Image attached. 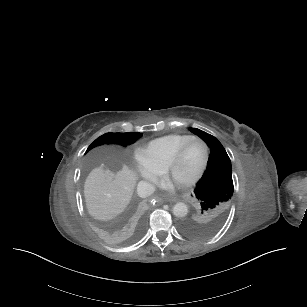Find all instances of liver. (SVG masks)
<instances>
[{
    "label": "liver",
    "instance_id": "1",
    "mask_svg": "<svg viewBox=\"0 0 307 307\" xmlns=\"http://www.w3.org/2000/svg\"><path fill=\"white\" fill-rule=\"evenodd\" d=\"M137 173L136 162L128 156L100 159L84 184L88 213L103 221L121 214L131 200Z\"/></svg>",
    "mask_w": 307,
    "mask_h": 307
}]
</instances>
